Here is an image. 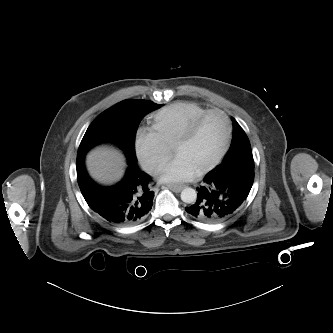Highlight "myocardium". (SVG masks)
I'll return each mask as SVG.
<instances>
[{
	"instance_id": "myocardium-1",
	"label": "myocardium",
	"mask_w": 333,
	"mask_h": 333,
	"mask_svg": "<svg viewBox=\"0 0 333 333\" xmlns=\"http://www.w3.org/2000/svg\"><path fill=\"white\" fill-rule=\"evenodd\" d=\"M212 114H219L223 117L225 123H226V135H225V139L223 142V145L219 151V153L217 154V156L213 159V161H211L209 164H207L206 166L202 167L201 169L197 170V174L198 175H202L205 174L207 172H209L210 170H212L213 168H215L220 161L223 159L224 155L226 154L231 139H232V134H233V126H232V121L230 119V117L228 116V114L226 112H224L223 110L220 109H210L207 110L206 112H204L203 114H201L200 116H198L197 118H195L179 135L178 137L175 139L174 143H173V148L174 146H176L179 143L185 142L189 139L192 138V136L195 134L197 128L199 127V125L204 121V119H206L209 115Z\"/></svg>"
}]
</instances>
